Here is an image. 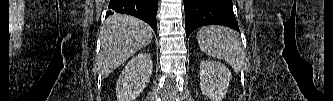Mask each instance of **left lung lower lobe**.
Masks as SVG:
<instances>
[{
    "label": "left lung lower lobe",
    "instance_id": "1",
    "mask_svg": "<svg viewBox=\"0 0 333 101\" xmlns=\"http://www.w3.org/2000/svg\"><path fill=\"white\" fill-rule=\"evenodd\" d=\"M187 39L196 28L209 24L228 26L240 32L232 0H184Z\"/></svg>",
    "mask_w": 333,
    "mask_h": 101
}]
</instances>
